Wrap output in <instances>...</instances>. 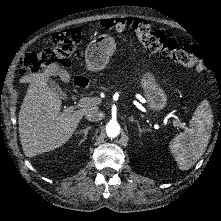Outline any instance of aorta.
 Here are the masks:
<instances>
[{
    "label": "aorta",
    "instance_id": "aorta-1",
    "mask_svg": "<svg viewBox=\"0 0 221 221\" xmlns=\"http://www.w3.org/2000/svg\"><path fill=\"white\" fill-rule=\"evenodd\" d=\"M106 133L108 137L114 138L120 133V125L116 121H110L106 125Z\"/></svg>",
    "mask_w": 221,
    "mask_h": 221
}]
</instances>
